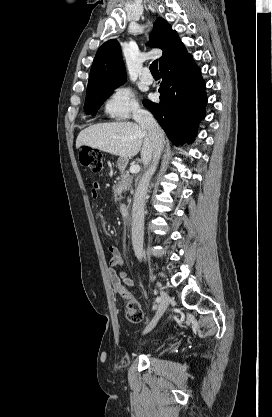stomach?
<instances>
[{"label": "stomach", "instance_id": "1", "mask_svg": "<svg viewBox=\"0 0 272 417\" xmlns=\"http://www.w3.org/2000/svg\"><path fill=\"white\" fill-rule=\"evenodd\" d=\"M127 158L120 157L117 161V166L119 169H123L127 165Z\"/></svg>", "mask_w": 272, "mask_h": 417}]
</instances>
